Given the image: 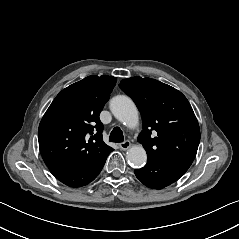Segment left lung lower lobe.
Returning <instances> with one entry per match:
<instances>
[{
    "instance_id": "0a47b994",
    "label": "left lung lower lobe",
    "mask_w": 239,
    "mask_h": 239,
    "mask_svg": "<svg viewBox=\"0 0 239 239\" xmlns=\"http://www.w3.org/2000/svg\"><path fill=\"white\" fill-rule=\"evenodd\" d=\"M192 162L185 158H147L146 166L134 173L147 187L161 189L181 178Z\"/></svg>"
}]
</instances>
